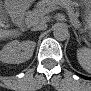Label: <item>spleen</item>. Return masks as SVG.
<instances>
[{
    "mask_svg": "<svg viewBox=\"0 0 91 91\" xmlns=\"http://www.w3.org/2000/svg\"><path fill=\"white\" fill-rule=\"evenodd\" d=\"M77 59L79 64L86 70L91 69V50L89 48H80L77 51Z\"/></svg>",
    "mask_w": 91,
    "mask_h": 91,
    "instance_id": "obj_1",
    "label": "spleen"
}]
</instances>
